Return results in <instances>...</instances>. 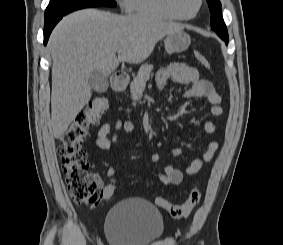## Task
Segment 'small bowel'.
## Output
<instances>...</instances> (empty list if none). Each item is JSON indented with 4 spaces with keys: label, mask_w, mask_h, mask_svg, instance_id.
<instances>
[{
    "label": "small bowel",
    "mask_w": 283,
    "mask_h": 245,
    "mask_svg": "<svg viewBox=\"0 0 283 245\" xmlns=\"http://www.w3.org/2000/svg\"><path fill=\"white\" fill-rule=\"evenodd\" d=\"M156 82L159 89H164L170 82L190 85V88L184 94L185 98H205L210 104L211 115L220 116L222 114L221 97L216 92L213 84L209 80L200 77L198 70L192 66L185 63L169 64L157 73ZM135 127V123L131 120L117 119L113 124L105 123L97 133L96 146L99 149H108L117 142L120 133H131ZM203 131L206 134H213L215 132L214 123L211 121L204 122ZM217 149L218 143L214 140L209 141L204 153L194 159L183 171L172 165L165 166L161 171L158 168L161 155L154 153L150 156V161L153 163L151 174L165 185H178L182 182L184 173L194 175L201 170L204 164L209 163ZM170 154L175 157L179 155V150L171 149ZM115 174V167H109L106 171L108 178H113ZM94 179L101 189L104 186L102 179L97 175L94 176Z\"/></svg>",
    "instance_id": "c3829d8e"
}]
</instances>
